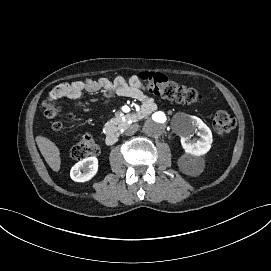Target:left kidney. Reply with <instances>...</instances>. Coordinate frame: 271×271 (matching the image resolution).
<instances>
[{
  "label": "left kidney",
  "mask_w": 271,
  "mask_h": 271,
  "mask_svg": "<svg viewBox=\"0 0 271 271\" xmlns=\"http://www.w3.org/2000/svg\"><path fill=\"white\" fill-rule=\"evenodd\" d=\"M187 123L189 131L181 133V143L189 155H199L207 152L212 141V133L209 127L198 117L189 115ZM193 132L199 135V138L193 139Z\"/></svg>",
  "instance_id": "obj_1"
}]
</instances>
